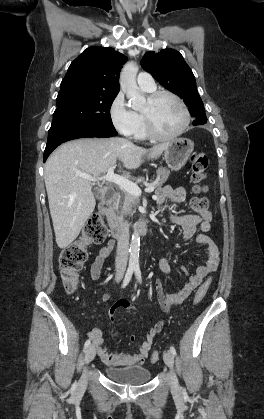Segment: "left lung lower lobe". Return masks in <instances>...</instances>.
I'll list each match as a JSON object with an SVG mask.
<instances>
[{"instance_id":"0a47b994","label":"left lung lower lobe","mask_w":264,"mask_h":419,"mask_svg":"<svg viewBox=\"0 0 264 419\" xmlns=\"http://www.w3.org/2000/svg\"><path fill=\"white\" fill-rule=\"evenodd\" d=\"M206 121H207V118H204L203 116L198 115V116L195 117V120L192 122V124L194 126L195 125H201V124L206 123Z\"/></svg>"}]
</instances>
